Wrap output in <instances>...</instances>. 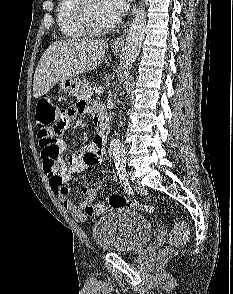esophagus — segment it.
<instances>
[{"label":"esophagus","mask_w":233,"mask_h":294,"mask_svg":"<svg viewBox=\"0 0 233 294\" xmlns=\"http://www.w3.org/2000/svg\"><path fill=\"white\" fill-rule=\"evenodd\" d=\"M125 33H126V31H125ZM125 33H124L122 36L116 38V39L112 42V46H113V47H121V46H123V44H124V39H125Z\"/></svg>","instance_id":"obj_1"}]
</instances>
